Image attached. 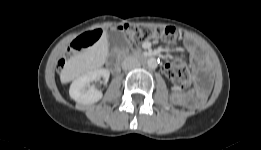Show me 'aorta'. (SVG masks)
Returning <instances> with one entry per match:
<instances>
[{"mask_svg":"<svg viewBox=\"0 0 261 150\" xmlns=\"http://www.w3.org/2000/svg\"><path fill=\"white\" fill-rule=\"evenodd\" d=\"M147 66L149 69H156L158 66V61L156 60V58H149L147 60Z\"/></svg>","mask_w":261,"mask_h":150,"instance_id":"obj_1","label":"aorta"}]
</instances>
